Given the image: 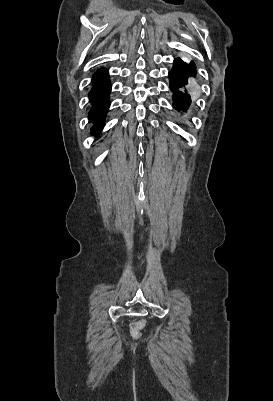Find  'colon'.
<instances>
[{
	"label": "colon",
	"mask_w": 273,
	"mask_h": 401,
	"mask_svg": "<svg viewBox=\"0 0 273 401\" xmlns=\"http://www.w3.org/2000/svg\"><path fill=\"white\" fill-rule=\"evenodd\" d=\"M147 326L148 321L146 319H135L133 321L131 330L129 331V336L131 337L132 341H139L142 328H146Z\"/></svg>",
	"instance_id": "1"
}]
</instances>
